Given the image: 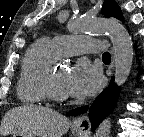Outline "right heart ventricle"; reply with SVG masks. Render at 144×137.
I'll return each instance as SVG.
<instances>
[{
    "instance_id": "right-heart-ventricle-1",
    "label": "right heart ventricle",
    "mask_w": 144,
    "mask_h": 137,
    "mask_svg": "<svg viewBox=\"0 0 144 137\" xmlns=\"http://www.w3.org/2000/svg\"><path fill=\"white\" fill-rule=\"evenodd\" d=\"M59 58L52 41L41 39L26 52L17 82V96L24 104H42L48 100L44 79Z\"/></svg>"
}]
</instances>
